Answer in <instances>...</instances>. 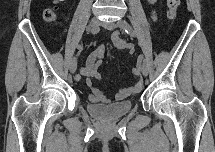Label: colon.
<instances>
[{"label":"colon","instance_id":"1","mask_svg":"<svg viewBox=\"0 0 215 152\" xmlns=\"http://www.w3.org/2000/svg\"><path fill=\"white\" fill-rule=\"evenodd\" d=\"M180 5V0H167V17L170 20H174L177 15V9ZM44 19L49 22L53 23L56 21L57 13L54 8H47L44 11ZM132 73L134 76L139 77L141 75V68L140 65L137 64L133 69Z\"/></svg>","mask_w":215,"mask_h":152}]
</instances>
